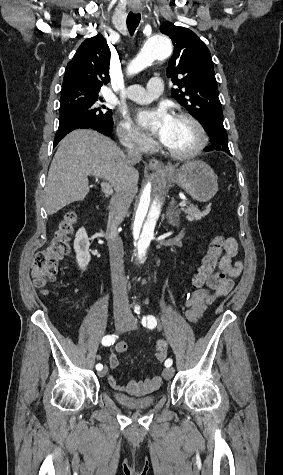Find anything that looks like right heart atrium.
I'll return each mask as SVG.
<instances>
[{
	"instance_id": "d8ad5b80",
	"label": "right heart atrium",
	"mask_w": 283,
	"mask_h": 475,
	"mask_svg": "<svg viewBox=\"0 0 283 475\" xmlns=\"http://www.w3.org/2000/svg\"><path fill=\"white\" fill-rule=\"evenodd\" d=\"M115 131L120 138L123 151L138 155L150 152L152 148L150 137L138 131L128 118L119 119Z\"/></svg>"
}]
</instances>
